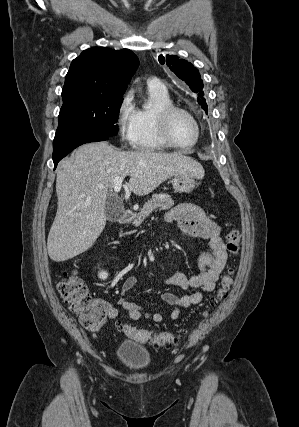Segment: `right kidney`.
<instances>
[{"mask_svg": "<svg viewBox=\"0 0 299 427\" xmlns=\"http://www.w3.org/2000/svg\"><path fill=\"white\" fill-rule=\"evenodd\" d=\"M98 276H99V278H100V279L105 280V279H107V277H108V273H107V272H105V271H101V272L98 274Z\"/></svg>", "mask_w": 299, "mask_h": 427, "instance_id": "ca27d5eb", "label": "right kidney"}]
</instances>
